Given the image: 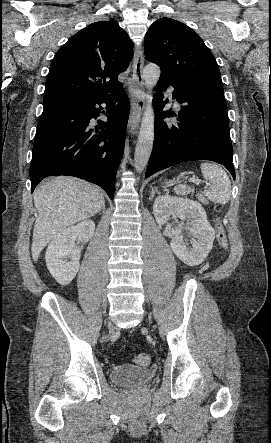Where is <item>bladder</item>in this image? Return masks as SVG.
<instances>
[{"label":"bladder","instance_id":"obj_1","mask_svg":"<svg viewBox=\"0 0 271 443\" xmlns=\"http://www.w3.org/2000/svg\"><path fill=\"white\" fill-rule=\"evenodd\" d=\"M153 375L152 370L149 368L121 364L111 369L110 379L117 385L131 387L148 383L153 378Z\"/></svg>","mask_w":271,"mask_h":443}]
</instances>
